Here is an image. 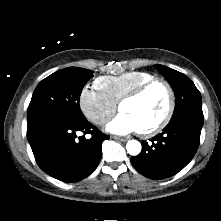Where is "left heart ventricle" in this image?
Returning a JSON list of instances; mask_svg holds the SVG:
<instances>
[{
  "label": "left heart ventricle",
  "instance_id": "b2bd125f",
  "mask_svg": "<svg viewBox=\"0 0 221 221\" xmlns=\"http://www.w3.org/2000/svg\"><path fill=\"white\" fill-rule=\"evenodd\" d=\"M167 93L161 85H155L138 99L128 101L120 111L130 114L138 123L140 130L156 124L167 107Z\"/></svg>",
  "mask_w": 221,
  "mask_h": 221
}]
</instances>
